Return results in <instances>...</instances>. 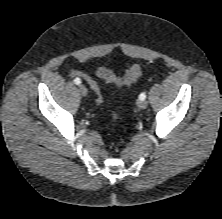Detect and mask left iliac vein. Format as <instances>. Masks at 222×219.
I'll use <instances>...</instances> for the list:
<instances>
[{
    "instance_id": "left-iliac-vein-1",
    "label": "left iliac vein",
    "mask_w": 222,
    "mask_h": 219,
    "mask_svg": "<svg viewBox=\"0 0 222 219\" xmlns=\"http://www.w3.org/2000/svg\"><path fill=\"white\" fill-rule=\"evenodd\" d=\"M137 106H138V108H140V109H145V108H147L148 103H147L146 100H139V101L137 102Z\"/></svg>"
}]
</instances>
